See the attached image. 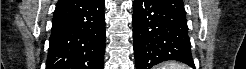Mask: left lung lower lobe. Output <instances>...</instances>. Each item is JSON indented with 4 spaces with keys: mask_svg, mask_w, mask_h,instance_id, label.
I'll use <instances>...</instances> for the list:
<instances>
[{
    "mask_svg": "<svg viewBox=\"0 0 246 69\" xmlns=\"http://www.w3.org/2000/svg\"><path fill=\"white\" fill-rule=\"evenodd\" d=\"M133 38L136 69L177 60L194 67L186 16L162 0H135Z\"/></svg>",
    "mask_w": 246,
    "mask_h": 69,
    "instance_id": "1",
    "label": "left lung lower lobe"
}]
</instances>
